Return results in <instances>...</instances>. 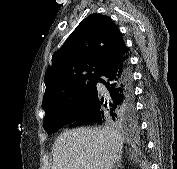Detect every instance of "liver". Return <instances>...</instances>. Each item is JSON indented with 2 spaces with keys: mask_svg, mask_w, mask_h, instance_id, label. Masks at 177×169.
<instances>
[{
  "mask_svg": "<svg viewBox=\"0 0 177 169\" xmlns=\"http://www.w3.org/2000/svg\"><path fill=\"white\" fill-rule=\"evenodd\" d=\"M123 143L124 136L110 127L65 131L54 142L51 169H113Z\"/></svg>",
  "mask_w": 177,
  "mask_h": 169,
  "instance_id": "liver-1",
  "label": "liver"
}]
</instances>
